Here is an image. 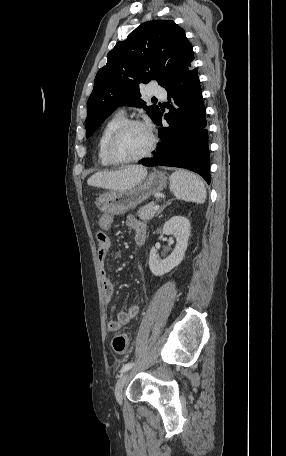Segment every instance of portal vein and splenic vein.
I'll list each match as a JSON object with an SVG mask.
<instances>
[{"label": "portal vein and splenic vein", "mask_w": 286, "mask_h": 456, "mask_svg": "<svg viewBox=\"0 0 286 456\" xmlns=\"http://www.w3.org/2000/svg\"><path fill=\"white\" fill-rule=\"evenodd\" d=\"M159 208H160L159 205H155L153 209H154V210H158Z\"/></svg>", "instance_id": "portal-vein-and-splenic-vein-1"}]
</instances>
